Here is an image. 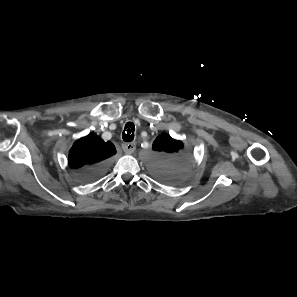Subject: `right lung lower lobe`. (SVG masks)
Segmentation results:
<instances>
[{"mask_svg":"<svg viewBox=\"0 0 297 297\" xmlns=\"http://www.w3.org/2000/svg\"><path fill=\"white\" fill-rule=\"evenodd\" d=\"M106 169L107 162L98 163L80 171L78 178L83 182H90L102 176Z\"/></svg>","mask_w":297,"mask_h":297,"instance_id":"98d812e1","label":"right lung lower lobe"}]
</instances>
